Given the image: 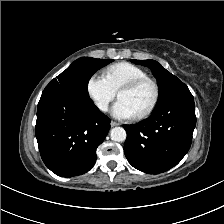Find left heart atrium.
Instances as JSON below:
<instances>
[{"label":"left heart atrium","mask_w":224,"mask_h":224,"mask_svg":"<svg viewBox=\"0 0 224 224\" xmlns=\"http://www.w3.org/2000/svg\"><path fill=\"white\" fill-rule=\"evenodd\" d=\"M111 113L117 119H133L136 117L135 111L124 100H118L112 107Z\"/></svg>","instance_id":"obj_1"}]
</instances>
